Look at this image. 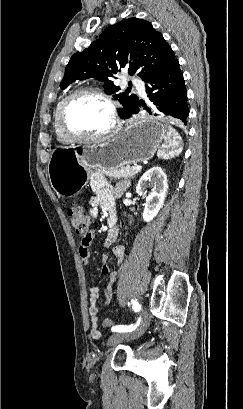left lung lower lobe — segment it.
Segmentation results:
<instances>
[{"label": "left lung lower lobe", "mask_w": 243, "mask_h": 409, "mask_svg": "<svg viewBox=\"0 0 243 409\" xmlns=\"http://www.w3.org/2000/svg\"><path fill=\"white\" fill-rule=\"evenodd\" d=\"M146 92L150 103L146 105L138 100L124 119L130 118L141 109L153 116H172L180 119L187 125L189 109L187 105V92L182 72L177 59L146 81Z\"/></svg>", "instance_id": "0a47b994"}]
</instances>
